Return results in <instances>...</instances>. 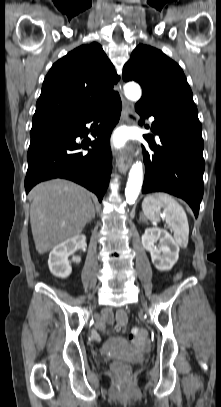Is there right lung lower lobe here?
I'll return each instance as SVG.
<instances>
[{"mask_svg":"<svg viewBox=\"0 0 221 407\" xmlns=\"http://www.w3.org/2000/svg\"><path fill=\"white\" fill-rule=\"evenodd\" d=\"M121 109L119 97L80 118L32 128L27 153L26 193L41 181L59 177L86 187L101 202L112 169L109 139ZM90 122H94L92 136L96 139L76 141L77 137L83 138L89 133L86 124ZM89 146L92 149H88Z\"/></svg>","mask_w":221,"mask_h":407,"instance_id":"right-lung-lower-lobe-1","label":"right lung lower lobe"}]
</instances>
